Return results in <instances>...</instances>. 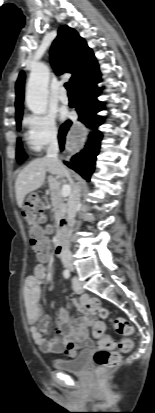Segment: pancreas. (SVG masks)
Segmentation results:
<instances>
[{
  "instance_id": "cf45deb5",
  "label": "pancreas",
  "mask_w": 155,
  "mask_h": 413,
  "mask_svg": "<svg viewBox=\"0 0 155 413\" xmlns=\"http://www.w3.org/2000/svg\"><path fill=\"white\" fill-rule=\"evenodd\" d=\"M51 208L54 211V217L56 222L58 223L61 219L65 217L67 212V205L65 200L61 196V189L59 185L53 189H51Z\"/></svg>"
}]
</instances>
